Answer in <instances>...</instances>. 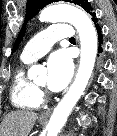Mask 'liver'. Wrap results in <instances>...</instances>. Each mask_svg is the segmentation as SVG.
Masks as SVG:
<instances>
[{
    "instance_id": "6515ba94",
    "label": "liver",
    "mask_w": 117,
    "mask_h": 136,
    "mask_svg": "<svg viewBox=\"0 0 117 136\" xmlns=\"http://www.w3.org/2000/svg\"><path fill=\"white\" fill-rule=\"evenodd\" d=\"M37 118V113L32 111H11L1 123L0 136H28Z\"/></svg>"
}]
</instances>
